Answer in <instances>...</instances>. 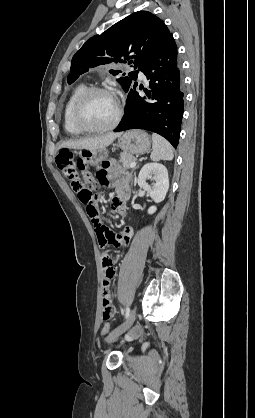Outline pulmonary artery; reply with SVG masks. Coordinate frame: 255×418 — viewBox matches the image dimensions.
Here are the masks:
<instances>
[{"label": "pulmonary artery", "instance_id": "pulmonary-artery-1", "mask_svg": "<svg viewBox=\"0 0 255 418\" xmlns=\"http://www.w3.org/2000/svg\"><path fill=\"white\" fill-rule=\"evenodd\" d=\"M139 77H140L141 79H143V78H144V74H143L142 72H140V73H139Z\"/></svg>", "mask_w": 255, "mask_h": 418}]
</instances>
